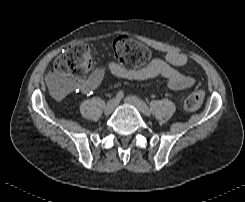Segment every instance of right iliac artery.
Returning <instances> with one entry per match:
<instances>
[{
    "mask_svg": "<svg viewBox=\"0 0 245 202\" xmlns=\"http://www.w3.org/2000/svg\"><path fill=\"white\" fill-rule=\"evenodd\" d=\"M124 97V92L123 90H119L116 94V100L120 101Z\"/></svg>",
    "mask_w": 245,
    "mask_h": 202,
    "instance_id": "obj_1",
    "label": "right iliac artery"
}]
</instances>
